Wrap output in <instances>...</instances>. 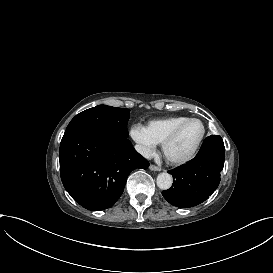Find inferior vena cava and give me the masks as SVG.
<instances>
[{
	"mask_svg": "<svg viewBox=\"0 0 273 273\" xmlns=\"http://www.w3.org/2000/svg\"><path fill=\"white\" fill-rule=\"evenodd\" d=\"M135 149L138 153L149 159L151 157L150 150L143 145H135Z\"/></svg>",
	"mask_w": 273,
	"mask_h": 273,
	"instance_id": "obj_1",
	"label": "inferior vena cava"
}]
</instances>
